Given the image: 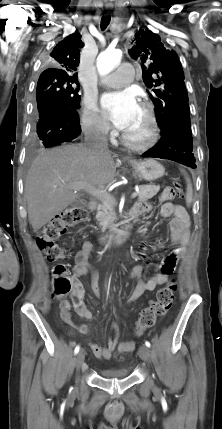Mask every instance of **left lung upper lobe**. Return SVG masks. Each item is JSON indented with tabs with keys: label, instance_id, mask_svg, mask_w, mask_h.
Segmentation results:
<instances>
[{
	"label": "left lung upper lobe",
	"instance_id": "1",
	"mask_svg": "<svg viewBox=\"0 0 222 429\" xmlns=\"http://www.w3.org/2000/svg\"><path fill=\"white\" fill-rule=\"evenodd\" d=\"M129 53L142 63L143 80L156 109L158 126L166 127L177 118H190L184 73L175 51L164 47L150 30H139Z\"/></svg>",
	"mask_w": 222,
	"mask_h": 429
}]
</instances>
